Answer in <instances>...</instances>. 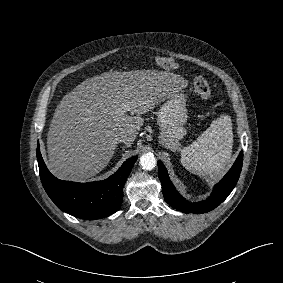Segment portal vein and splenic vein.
<instances>
[{"instance_id":"obj_1","label":"portal vein and splenic vein","mask_w":283,"mask_h":283,"mask_svg":"<svg viewBox=\"0 0 283 283\" xmlns=\"http://www.w3.org/2000/svg\"><path fill=\"white\" fill-rule=\"evenodd\" d=\"M126 111H127V109L123 107V108L120 109V114L124 115V113H126Z\"/></svg>"}]
</instances>
